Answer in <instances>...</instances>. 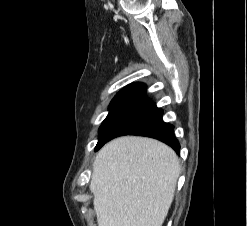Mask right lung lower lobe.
Here are the masks:
<instances>
[{"label":"right lung lower lobe","mask_w":247,"mask_h":226,"mask_svg":"<svg viewBox=\"0 0 247 226\" xmlns=\"http://www.w3.org/2000/svg\"><path fill=\"white\" fill-rule=\"evenodd\" d=\"M163 110L145 95L143 83L121 90L109 106V114L99 128L95 151L109 140L122 135H140L158 139L179 153L174 127L162 120Z\"/></svg>","instance_id":"right-lung-lower-lobe-1"}]
</instances>
